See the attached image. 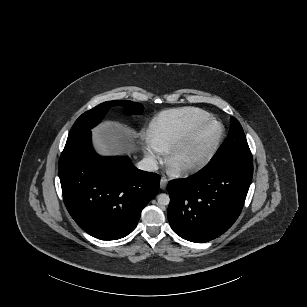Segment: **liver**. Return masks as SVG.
Returning a JSON list of instances; mask_svg holds the SVG:
<instances>
[{
	"label": "liver",
	"mask_w": 307,
	"mask_h": 307,
	"mask_svg": "<svg viewBox=\"0 0 307 307\" xmlns=\"http://www.w3.org/2000/svg\"><path fill=\"white\" fill-rule=\"evenodd\" d=\"M90 131L91 148L103 159L132 157L140 152L146 140L143 130L116 119H104Z\"/></svg>",
	"instance_id": "obj_1"
}]
</instances>
